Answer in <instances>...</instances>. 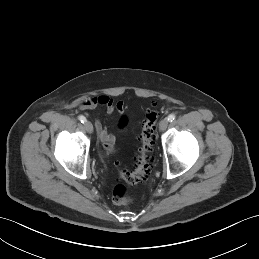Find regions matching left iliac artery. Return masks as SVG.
<instances>
[{"instance_id":"obj_1","label":"left iliac artery","mask_w":259,"mask_h":259,"mask_svg":"<svg viewBox=\"0 0 259 259\" xmlns=\"http://www.w3.org/2000/svg\"><path fill=\"white\" fill-rule=\"evenodd\" d=\"M167 119H168L169 122H172L175 119V115L170 114Z\"/></svg>"}]
</instances>
